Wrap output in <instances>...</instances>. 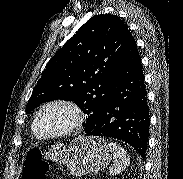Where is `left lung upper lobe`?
Returning <instances> with one entry per match:
<instances>
[{
	"label": "left lung upper lobe",
	"mask_w": 183,
	"mask_h": 179,
	"mask_svg": "<svg viewBox=\"0 0 183 179\" xmlns=\"http://www.w3.org/2000/svg\"><path fill=\"white\" fill-rule=\"evenodd\" d=\"M129 32L118 16H93L48 62L26 113L46 101H74L88 115L84 124L87 133L107 100Z\"/></svg>",
	"instance_id": "obj_1"
}]
</instances>
